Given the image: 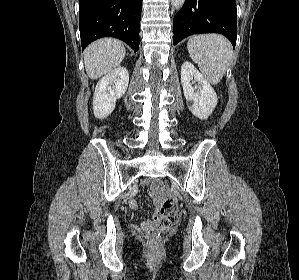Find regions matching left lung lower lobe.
<instances>
[{
	"label": "left lung lower lobe",
	"instance_id": "obj_1",
	"mask_svg": "<svg viewBox=\"0 0 299 280\" xmlns=\"http://www.w3.org/2000/svg\"><path fill=\"white\" fill-rule=\"evenodd\" d=\"M173 44L185 37L216 32L236 45L237 13L235 0H186L173 20Z\"/></svg>",
	"mask_w": 299,
	"mask_h": 280
}]
</instances>
